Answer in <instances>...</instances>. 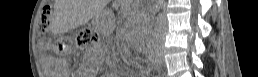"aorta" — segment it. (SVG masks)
I'll return each mask as SVG.
<instances>
[{
	"label": "aorta",
	"instance_id": "obj_1",
	"mask_svg": "<svg viewBox=\"0 0 258 77\" xmlns=\"http://www.w3.org/2000/svg\"><path fill=\"white\" fill-rule=\"evenodd\" d=\"M156 5L154 6V10H153V14H155L156 12L159 11V9L161 8V5H162V0H157L156 1Z\"/></svg>",
	"mask_w": 258,
	"mask_h": 77
}]
</instances>
